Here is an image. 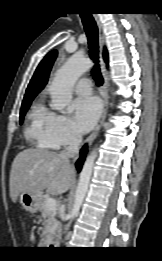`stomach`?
<instances>
[{
    "mask_svg": "<svg viewBox=\"0 0 162 261\" xmlns=\"http://www.w3.org/2000/svg\"><path fill=\"white\" fill-rule=\"evenodd\" d=\"M41 201L40 195H33L30 193H22L20 195V203L28 212H36L39 209Z\"/></svg>",
    "mask_w": 162,
    "mask_h": 261,
    "instance_id": "obj_1",
    "label": "stomach"
}]
</instances>
